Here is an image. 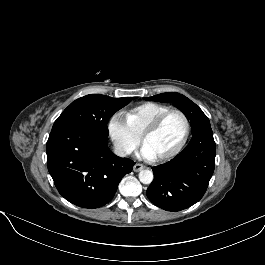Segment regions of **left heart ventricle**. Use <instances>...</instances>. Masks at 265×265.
I'll return each mask as SVG.
<instances>
[{
  "label": "left heart ventricle",
  "mask_w": 265,
  "mask_h": 265,
  "mask_svg": "<svg viewBox=\"0 0 265 265\" xmlns=\"http://www.w3.org/2000/svg\"><path fill=\"white\" fill-rule=\"evenodd\" d=\"M185 132V123L178 114L169 115L159 129L150 135L144 146L152 156L167 153L176 148L181 142Z\"/></svg>",
  "instance_id": "1"
}]
</instances>
